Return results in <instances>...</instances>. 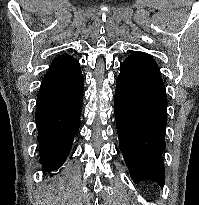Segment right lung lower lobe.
<instances>
[{
	"label": "right lung lower lobe",
	"mask_w": 199,
	"mask_h": 205,
	"mask_svg": "<svg viewBox=\"0 0 199 205\" xmlns=\"http://www.w3.org/2000/svg\"><path fill=\"white\" fill-rule=\"evenodd\" d=\"M84 78L81 70L66 77L46 73L37 95L35 120L40 163L45 171L59 168L70 153L79 129Z\"/></svg>",
	"instance_id": "1"
}]
</instances>
